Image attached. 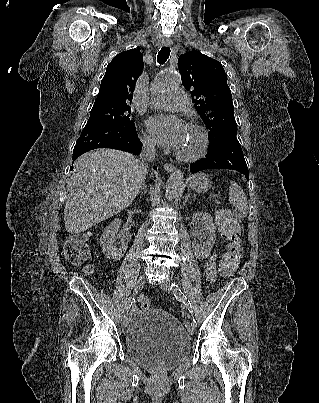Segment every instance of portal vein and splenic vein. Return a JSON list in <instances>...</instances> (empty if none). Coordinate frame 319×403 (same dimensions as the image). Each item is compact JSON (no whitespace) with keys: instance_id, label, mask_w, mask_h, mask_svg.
I'll return each mask as SVG.
<instances>
[{"instance_id":"portal-vein-and-splenic-vein-1","label":"portal vein and splenic vein","mask_w":319,"mask_h":403,"mask_svg":"<svg viewBox=\"0 0 319 403\" xmlns=\"http://www.w3.org/2000/svg\"><path fill=\"white\" fill-rule=\"evenodd\" d=\"M212 197H214L215 198V202L217 203V204H219L220 202H219V200L216 198V196L215 195H212Z\"/></svg>"}]
</instances>
